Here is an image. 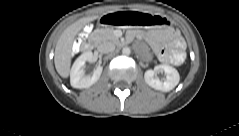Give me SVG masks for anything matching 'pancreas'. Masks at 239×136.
Instances as JSON below:
<instances>
[{"label":"pancreas","instance_id":"obj_1","mask_svg":"<svg viewBox=\"0 0 239 136\" xmlns=\"http://www.w3.org/2000/svg\"><path fill=\"white\" fill-rule=\"evenodd\" d=\"M92 36L96 38L97 42L112 41L114 43H119V38L114 35V30L112 28L97 29L92 33Z\"/></svg>","mask_w":239,"mask_h":136}]
</instances>
